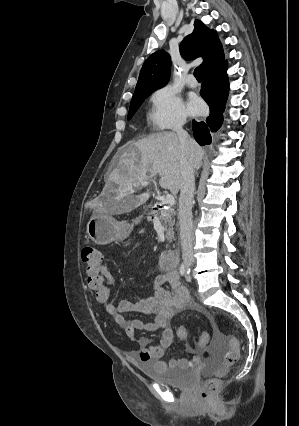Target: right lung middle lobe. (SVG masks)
Returning a JSON list of instances; mask_svg holds the SVG:
<instances>
[{
  "label": "right lung middle lobe",
  "instance_id": "obj_1",
  "mask_svg": "<svg viewBox=\"0 0 299 426\" xmlns=\"http://www.w3.org/2000/svg\"><path fill=\"white\" fill-rule=\"evenodd\" d=\"M152 92H140L137 94H134L131 100L130 109L128 113V120L132 118L134 113L137 111V109L140 107V105L143 103L146 97H148Z\"/></svg>",
  "mask_w": 299,
  "mask_h": 426
}]
</instances>
